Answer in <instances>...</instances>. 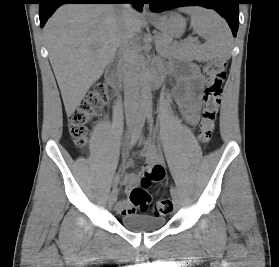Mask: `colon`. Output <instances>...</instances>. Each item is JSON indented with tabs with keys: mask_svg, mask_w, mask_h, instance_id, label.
Masks as SVG:
<instances>
[{
	"mask_svg": "<svg viewBox=\"0 0 279 267\" xmlns=\"http://www.w3.org/2000/svg\"><path fill=\"white\" fill-rule=\"evenodd\" d=\"M206 88L203 95V109L199 122L198 139L206 144L210 141L215 128L222 95V84L226 77V62L217 58L204 67ZM111 100L109 87L100 84L88 97L82 100L69 116V131L74 143L82 147L86 144L88 125L103 107ZM164 171L156 167H147L144 170L141 186L130 192V201L134 207L144 211L151 205V197L146 188L155 181L163 178ZM172 211V202L162 199L153 204L156 215H166Z\"/></svg>",
	"mask_w": 279,
	"mask_h": 267,
	"instance_id": "5ec220e1",
	"label": "colon"
}]
</instances>
